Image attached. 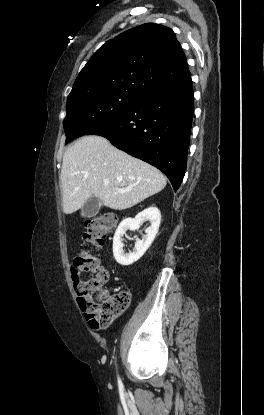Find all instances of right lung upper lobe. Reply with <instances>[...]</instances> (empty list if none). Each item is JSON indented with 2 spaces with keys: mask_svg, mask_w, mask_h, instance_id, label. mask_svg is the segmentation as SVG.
<instances>
[{
  "mask_svg": "<svg viewBox=\"0 0 264 415\" xmlns=\"http://www.w3.org/2000/svg\"><path fill=\"white\" fill-rule=\"evenodd\" d=\"M190 75L173 30L146 23L99 48L79 73L67 100L112 91L142 97Z\"/></svg>",
  "mask_w": 264,
  "mask_h": 415,
  "instance_id": "1",
  "label": "right lung upper lobe"
}]
</instances>
